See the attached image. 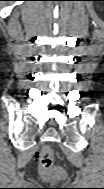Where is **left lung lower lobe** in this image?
<instances>
[{
    "label": "left lung lower lobe",
    "mask_w": 104,
    "mask_h": 189,
    "mask_svg": "<svg viewBox=\"0 0 104 189\" xmlns=\"http://www.w3.org/2000/svg\"><path fill=\"white\" fill-rule=\"evenodd\" d=\"M92 1H104V0H92Z\"/></svg>",
    "instance_id": "0a47b994"
}]
</instances>
